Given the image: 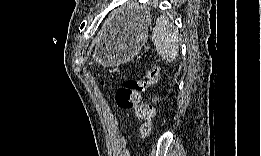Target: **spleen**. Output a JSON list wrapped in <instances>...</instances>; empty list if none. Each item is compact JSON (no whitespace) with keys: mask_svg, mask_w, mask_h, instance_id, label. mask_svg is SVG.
<instances>
[{"mask_svg":"<svg viewBox=\"0 0 261 156\" xmlns=\"http://www.w3.org/2000/svg\"><path fill=\"white\" fill-rule=\"evenodd\" d=\"M151 40L158 54L166 62L176 60L178 55V34L174 25L165 16H160L157 19Z\"/></svg>","mask_w":261,"mask_h":156,"instance_id":"obj_1","label":"spleen"}]
</instances>
